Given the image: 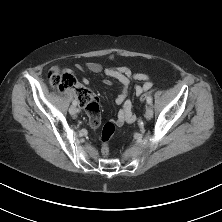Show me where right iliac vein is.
Masks as SVG:
<instances>
[{"label": "right iliac vein", "instance_id": "63e3f726", "mask_svg": "<svg viewBox=\"0 0 222 222\" xmlns=\"http://www.w3.org/2000/svg\"><path fill=\"white\" fill-rule=\"evenodd\" d=\"M77 112H78V109L76 108V106H71L70 108H69V113L71 114V115H76L77 114Z\"/></svg>", "mask_w": 222, "mask_h": 222}]
</instances>
